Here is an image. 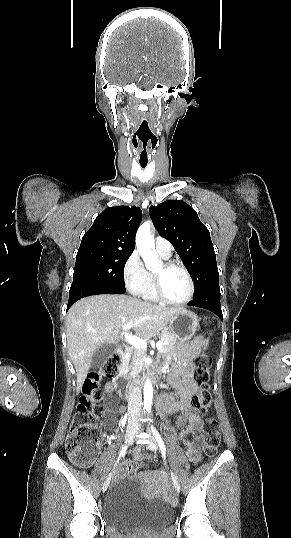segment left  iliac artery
Segmentation results:
<instances>
[{"label":"left iliac artery","instance_id":"44dca946","mask_svg":"<svg viewBox=\"0 0 291 538\" xmlns=\"http://www.w3.org/2000/svg\"><path fill=\"white\" fill-rule=\"evenodd\" d=\"M152 433L160 447V450L162 452V454L166 455V448H165V444L160 436V434L158 433V431L156 430V428L152 425Z\"/></svg>","mask_w":291,"mask_h":538}]
</instances>
